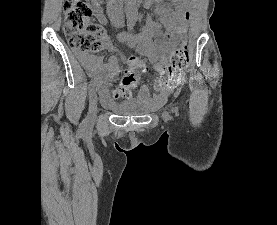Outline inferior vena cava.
<instances>
[{
    "label": "inferior vena cava",
    "mask_w": 277,
    "mask_h": 225,
    "mask_svg": "<svg viewBox=\"0 0 277 225\" xmlns=\"http://www.w3.org/2000/svg\"><path fill=\"white\" fill-rule=\"evenodd\" d=\"M121 3H122V0H108V2H107V6L109 7V8H113V7H120L121 6ZM120 22V24H123V18L122 17H120V20H119Z\"/></svg>",
    "instance_id": "inferior-vena-cava-1"
}]
</instances>
